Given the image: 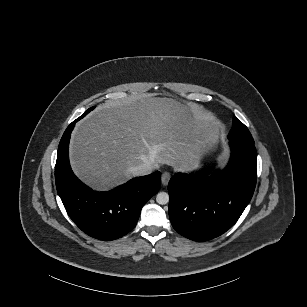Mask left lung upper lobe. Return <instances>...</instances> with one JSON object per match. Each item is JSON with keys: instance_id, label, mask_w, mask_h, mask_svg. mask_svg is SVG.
Listing matches in <instances>:
<instances>
[{"instance_id": "1", "label": "left lung upper lobe", "mask_w": 307, "mask_h": 307, "mask_svg": "<svg viewBox=\"0 0 307 307\" xmlns=\"http://www.w3.org/2000/svg\"><path fill=\"white\" fill-rule=\"evenodd\" d=\"M228 137L234 140L254 141L247 127L238 118L233 119Z\"/></svg>"}]
</instances>
